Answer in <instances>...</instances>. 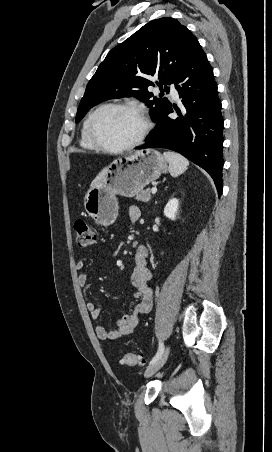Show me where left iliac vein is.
Returning <instances> with one entry per match:
<instances>
[{"instance_id":"obj_1","label":"left iliac vein","mask_w":272,"mask_h":452,"mask_svg":"<svg viewBox=\"0 0 272 452\" xmlns=\"http://www.w3.org/2000/svg\"><path fill=\"white\" fill-rule=\"evenodd\" d=\"M170 353V346H167L162 355L158 358L157 361H155L153 364H151L144 372L145 378H149L152 375H154L159 369L162 368V366L166 363L168 356Z\"/></svg>"}]
</instances>
